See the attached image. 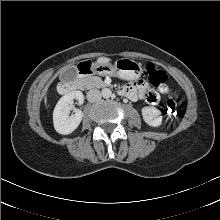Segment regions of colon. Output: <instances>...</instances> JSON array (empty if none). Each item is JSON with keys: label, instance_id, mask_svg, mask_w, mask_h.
<instances>
[{"label": "colon", "instance_id": "5ec220e1", "mask_svg": "<svg viewBox=\"0 0 220 220\" xmlns=\"http://www.w3.org/2000/svg\"><path fill=\"white\" fill-rule=\"evenodd\" d=\"M146 72L150 82L155 86L159 87L163 85L167 80L166 73L155 66L154 64H148L146 66ZM180 113L179 103L173 99L169 98L166 102L165 114L170 121L177 120Z\"/></svg>", "mask_w": 220, "mask_h": 220}]
</instances>
